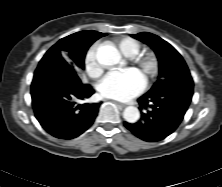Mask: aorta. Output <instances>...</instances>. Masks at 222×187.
I'll return each instance as SVG.
<instances>
[{
  "label": "aorta",
  "mask_w": 222,
  "mask_h": 187,
  "mask_svg": "<svg viewBox=\"0 0 222 187\" xmlns=\"http://www.w3.org/2000/svg\"><path fill=\"white\" fill-rule=\"evenodd\" d=\"M96 59L103 67H109L120 63L121 55L117 48L112 45H101L96 52ZM140 112L137 107L128 106L123 112V118L128 123H135L139 120Z\"/></svg>",
  "instance_id": "obj_1"
}]
</instances>
